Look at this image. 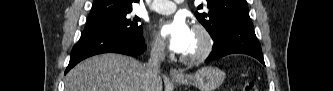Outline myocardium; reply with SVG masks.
<instances>
[{"label": "myocardium", "instance_id": "myocardium-1", "mask_svg": "<svg viewBox=\"0 0 333 91\" xmlns=\"http://www.w3.org/2000/svg\"><path fill=\"white\" fill-rule=\"evenodd\" d=\"M192 31L201 38V46L195 53L190 55L183 54L181 56V60L184 63L189 64L198 63L205 60L211 54L214 46L213 37L205 26L196 24L193 26Z\"/></svg>", "mask_w": 333, "mask_h": 91}]
</instances>
